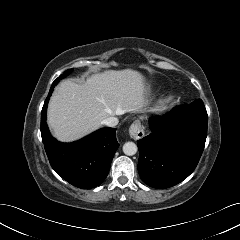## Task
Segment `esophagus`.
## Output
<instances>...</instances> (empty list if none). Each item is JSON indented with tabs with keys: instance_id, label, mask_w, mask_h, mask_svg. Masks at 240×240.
I'll use <instances>...</instances> for the list:
<instances>
[{
	"instance_id": "obj_1",
	"label": "esophagus",
	"mask_w": 240,
	"mask_h": 240,
	"mask_svg": "<svg viewBox=\"0 0 240 240\" xmlns=\"http://www.w3.org/2000/svg\"><path fill=\"white\" fill-rule=\"evenodd\" d=\"M144 129L139 120L134 121L129 128V135L134 140H139L144 137Z\"/></svg>"
}]
</instances>
